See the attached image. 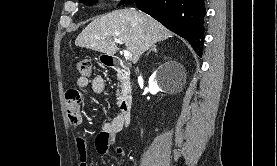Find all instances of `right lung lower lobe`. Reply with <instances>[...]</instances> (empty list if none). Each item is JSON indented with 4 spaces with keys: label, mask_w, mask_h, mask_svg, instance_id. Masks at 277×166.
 Returning a JSON list of instances; mask_svg holds the SVG:
<instances>
[{
    "label": "right lung lower lobe",
    "mask_w": 277,
    "mask_h": 166,
    "mask_svg": "<svg viewBox=\"0 0 277 166\" xmlns=\"http://www.w3.org/2000/svg\"><path fill=\"white\" fill-rule=\"evenodd\" d=\"M186 39L199 56L204 38V0H127Z\"/></svg>",
    "instance_id": "98d812e1"
}]
</instances>
